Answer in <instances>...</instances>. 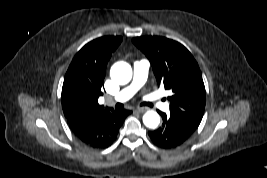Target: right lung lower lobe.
<instances>
[{"mask_svg":"<svg viewBox=\"0 0 267 178\" xmlns=\"http://www.w3.org/2000/svg\"><path fill=\"white\" fill-rule=\"evenodd\" d=\"M130 113L131 111L123 108L112 109L104 114L85 118L70 128L86 146L103 149L114 142L119 128Z\"/></svg>","mask_w":267,"mask_h":178,"instance_id":"right-lung-lower-lobe-1","label":"right lung lower lobe"}]
</instances>
